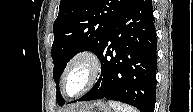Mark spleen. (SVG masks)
<instances>
[{
  "label": "spleen",
  "mask_w": 193,
  "mask_h": 112,
  "mask_svg": "<svg viewBox=\"0 0 193 112\" xmlns=\"http://www.w3.org/2000/svg\"><path fill=\"white\" fill-rule=\"evenodd\" d=\"M108 104L115 112H138L137 109L120 102L109 100Z\"/></svg>",
  "instance_id": "1"
}]
</instances>
